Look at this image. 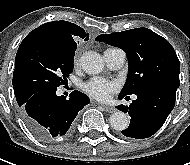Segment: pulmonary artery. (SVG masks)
<instances>
[{"instance_id": "1", "label": "pulmonary artery", "mask_w": 190, "mask_h": 165, "mask_svg": "<svg viewBox=\"0 0 190 165\" xmlns=\"http://www.w3.org/2000/svg\"><path fill=\"white\" fill-rule=\"evenodd\" d=\"M104 60L110 69H120L126 60V53L119 48H110L104 52Z\"/></svg>"}]
</instances>
